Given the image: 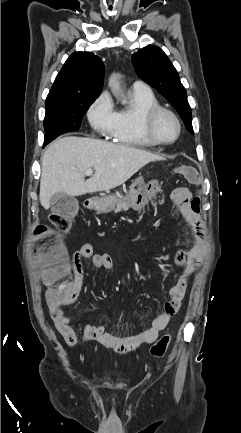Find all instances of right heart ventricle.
<instances>
[{
	"label": "right heart ventricle",
	"mask_w": 241,
	"mask_h": 433,
	"mask_svg": "<svg viewBox=\"0 0 241 433\" xmlns=\"http://www.w3.org/2000/svg\"><path fill=\"white\" fill-rule=\"evenodd\" d=\"M129 103L116 111V119L112 131V139L117 143L138 148L153 147L145 136L142 118L146 110L159 106V102L151 90L132 89Z\"/></svg>",
	"instance_id": "obj_1"
}]
</instances>
